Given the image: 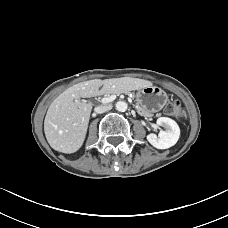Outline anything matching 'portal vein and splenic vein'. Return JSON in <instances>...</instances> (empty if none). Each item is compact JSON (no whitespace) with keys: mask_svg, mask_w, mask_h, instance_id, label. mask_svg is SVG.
<instances>
[{"mask_svg":"<svg viewBox=\"0 0 228 228\" xmlns=\"http://www.w3.org/2000/svg\"><path fill=\"white\" fill-rule=\"evenodd\" d=\"M116 99V95H110V96H108V97H104V98H102V102L103 103H109V102H112V101H114Z\"/></svg>","mask_w":228,"mask_h":228,"instance_id":"obj_1","label":"portal vein and splenic vein"}]
</instances>
